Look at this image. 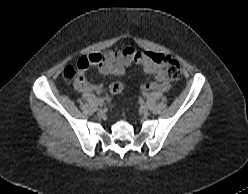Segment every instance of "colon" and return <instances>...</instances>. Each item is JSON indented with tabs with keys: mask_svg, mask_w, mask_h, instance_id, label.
Here are the masks:
<instances>
[{
	"mask_svg": "<svg viewBox=\"0 0 248 194\" xmlns=\"http://www.w3.org/2000/svg\"><path fill=\"white\" fill-rule=\"evenodd\" d=\"M152 59L155 63L161 65L165 76L169 80H178L181 76V67L179 62L169 55L154 54ZM97 61L91 56L81 58L76 64H68L63 70V78L67 83L76 81L79 74L85 71L90 65H95ZM111 91L119 94L123 91V85L120 82L111 84Z\"/></svg>",
	"mask_w": 248,
	"mask_h": 194,
	"instance_id": "1",
	"label": "colon"
}]
</instances>
